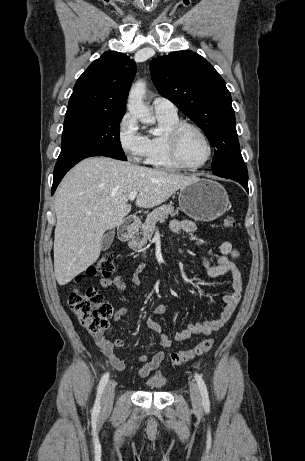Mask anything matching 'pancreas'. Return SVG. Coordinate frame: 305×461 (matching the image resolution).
I'll use <instances>...</instances> for the list:
<instances>
[{
	"label": "pancreas",
	"instance_id": "1",
	"mask_svg": "<svg viewBox=\"0 0 305 461\" xmlns=\"http://www.w3.org/2000/svg\"><path fill=\"white\" fill-rule=\"evenodd\" d=\"M169 215H178V210H174V207L170 204H164L154 209L148 214L145 222L142 224L141 234L143 237L140 238L138 232L134 233L131 236V240L128 242L129 247L136 252H144L143 246L150 240L154 233L156 223H163Z\"/></svg>",
	"mask_w": 305,
	"mask_h": 461
}]
</instances>
